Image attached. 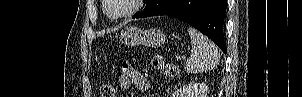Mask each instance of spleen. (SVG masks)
<instances>
[{
	"label": "spleen",
	"mask_w": 302,
	"mask_h": 97,
	"mask_svg": "<svg viewBox=\"0 0 302 97\" xmlns=\"http://www.w3.org/2000/svg\"><path fill=\"white\" fill-rule=\"evenodd\" d=\"M192 48L185 70L188 73H203L213 70L220 62L218 47L208 37L193 27L188 28Z\"/></svg>",
	"instance_id": "spleen-1"
}]
</instances>
